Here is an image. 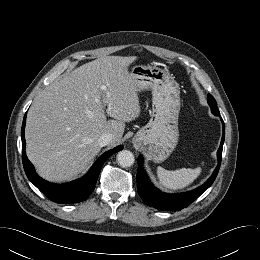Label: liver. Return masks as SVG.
Wrapping results in <instances>:
<instances>
[{
	"mask_svg": "<svg viewBox=\"0 0 260 260\" xmlns=\"http://www.w3.org/2000/svg\"><path fill=\"white\" fill-rule=\"evenodd\" d=\"M135 60L136 56L98 58L36 97L27 115L26 153L42 178L63 182L83 173L100 152L98 139L104 133L113 135L112 146L121 141L125 122L141 111L128 71ZM105 113L113 119L107 120Z\"/></svg>",
	"mask_w": 260,
	"mask_h": 260,
	"instance_id": "liver-1",
	"label": "liver"
}]
</instances>
